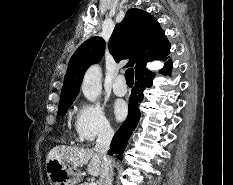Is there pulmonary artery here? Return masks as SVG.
Listing matches in <instances>:
<instances>
[{"mask_svg":"<svg viewBox=\"0 0 233 185\" xmlns=\"http://www.w3.org/2000/svg\"><path fill=\"white\" fill-rule=\"evenodd\" d=\"M114 93L118 96H123L127 93V86L123 75H119L113 85Z\"/></svg>","mask_w":233,"mask_h":185,"instance_id":"pulmonary-artery-1","label":"pulmonary artery"}]
</instances>
